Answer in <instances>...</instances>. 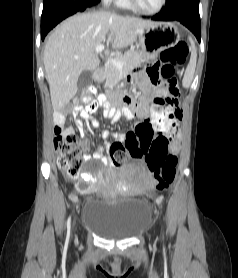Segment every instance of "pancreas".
<instances>
[{
	"label": "pancreas",
	"mask_w": 238,
	"mask_h": 278,
	"mask_svg": "<svg viewBox=\"0 0 238 278\" xmlns=\"http://www.w3.org/2000/svg\"><path fill=\"white\" fill-rule=\"evenodd\" d=\"M144 59V54L142 51H136L135 49H130L124 54H117L115 60L123 63L121 69L114 66L112 63L108 62L104 66L105 75V85L104 87L114 86L120 75H127L136 66H138Z\"/></svg>",
	"instance_id": "pancreas-1"
}]
</instances>
